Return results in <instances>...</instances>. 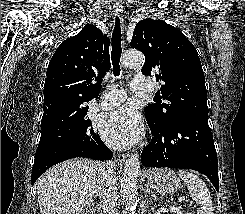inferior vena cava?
Here are the masks:
<instances>
[{
  "label": "inferior vena cava",
  "instance_id": "obj_1",
  "mask_svg": "<svg viewBox=\"0 0 245 214\" xmlns=\"http://www.w3.org/2000/svg\"><path fill=\"white\" fill-rule=\"evenodd\" d=\"M117 190L115 163L109 161L102 167V180L99 188L100 206L104 214H119L116 208Z\"/></svg>",
  "mask_w": 245,
  "mask_h": 214
}]
</instances>
